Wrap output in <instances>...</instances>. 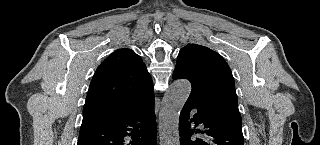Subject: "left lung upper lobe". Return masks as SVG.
<instances>
[{
  "label": "left lung upper lobe",
  "instance_id": "5c2ea615",
  "mask_svg": "<svg viewBox=\"0 0 320 145\" xmlns=\"http://www.w3.org/2000/svg\"><path fill=\"white\" fill-rule=\"evenodd\" d=\"M175 71L200 86L198 96L212 114L242 126L234 78L220 54L205 46L188 44L178 54Z\"/></svg>",
  "mask_w": 320,
  "mask_h": 145
}]
</instances>
